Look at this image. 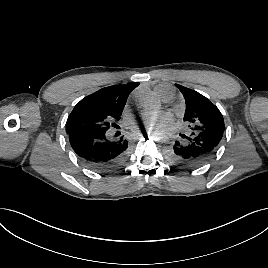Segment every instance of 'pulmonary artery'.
<instances>
[{
    "mask_svg": "<svg viewBox=\"0 0 268 268\" xmlns=\"http://www.w3.org/2000/svg\"><path fill=\"white\" fill-rule=\"evenodd\" d=\"M172 99V95L170 94V95H168V96H166V97H164V100L165 101H170Z\"/></svg>",
    "mask_w": 268,
    "mask_h": 268,
    "instance_id": "obj_1",
    "label": "pulmonary artery"
}]
</instances>
